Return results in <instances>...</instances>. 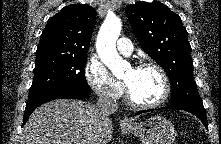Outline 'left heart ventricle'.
<instances>
[{"mask_svg": "<svg viewBox=\"0 0 221 144\" xmlns=\"http://www.w3.org/2000/svg\"><path fill=\"white\" fill-rule=\"evenodd\" d=\"M124 81L129 85L134 98L142 103L155 102L163 93L162 78L154 68H131L125 74Z\"/></svg>", "mask_w": 221, "mask_h": 144, "instance_id": "left-heart-ventricle-1", "label": "left heart ventricle"}]
</instances>
